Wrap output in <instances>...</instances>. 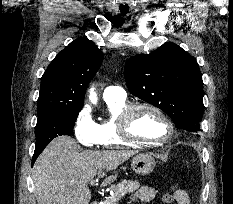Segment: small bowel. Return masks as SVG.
<instances>
[{
	"label": "small bowel",
	"instance_id": "c3829d8e",
	"mask_svg": "<svg viewBox=\"0 0 233 204\" xmlns=\"http://www.w3.org/2000/svg\"><path fill=\"white\" fill-rule=\"evenodd\" d=\"M155 197H156V190L150 186H143L134 194V198L136 200L144 203L150 202ZM165 201L175 202L176 204H190L189 195L184 190H179L174 199H165Z\"/></svg>",
	"mask_w": 233,
	"mask_h": 204
}]
</instances>
